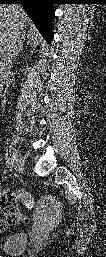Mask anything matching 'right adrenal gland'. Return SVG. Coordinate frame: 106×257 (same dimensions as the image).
I'll return each mask as SVG.
<instances>
[{
  "label": "right adrenal gland",
  "instance_id": "1",
  "mask_svg": "<svg viewBox=\"0 0 106 257\" xmlns=\"http://www.w3.org/2000/svg\"><path fill=\"white\" fill-rule=\"evenodd\" d=\"M24 40H25V36L23 35L22 38H21V40H20V43H19V45H18V49H17V51H16V54H15V58H14V59H16V57L18 56V54L20 53V51L23 50V43H24Z\"/></svg>",
  "mask_w": 106,
  "mask_h": 257
}]
</instances>
